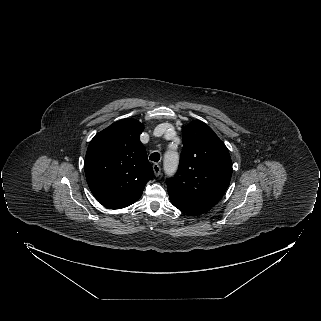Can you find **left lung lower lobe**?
<instances>
[{
	"mask_svg": "<svg viewBox=\"0 0 321 321\" xmlns=\"http://www.w3.org/2000/svg\"><path fill=\"white\" fill-rule=\"evenodd\" d=\"M169 198L171 200V203L175 207H177L179 210H181L189 215H199V214L209 211L212 208L210 206L189 203V202L183 201L179 198H176L175 196H172V195H169Z\"/></svg>",
	"mask_w": 321,
	"mask_h": 321,
	"instance_id": "obj_1",
	"label": "left lung lower lobe"
}]
</instances>
